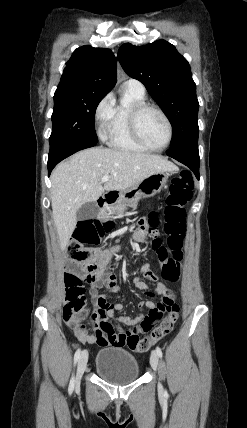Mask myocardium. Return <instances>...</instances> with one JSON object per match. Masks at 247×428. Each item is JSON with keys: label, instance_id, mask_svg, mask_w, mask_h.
I'll return each mask as SVG.
<instances>
[{"label": "myocardium", "instance_id": "myocardium-1", "mask_svg": "<svg viewBox=\"0 0 247 428\" xmlns=\"http://www.w3.org/2000/svg\"><path fill=\"white\" fill-rule=\"evenodd\" d=\"M146 110L156 111L162 116V118L166 122L167 129H168V136H167L166 142L162 146L155 147L148 144L143 138V136L141 135V132L139 130V117ZM128 126L133 139L142 147L146 148L147 150H151V151L165 150L171 144L173 139V125L170 118L164 112V110H162L160 107L151 103L140 102V103L133 104L128 111Z\"/></svg>", "mask_w": 247, "mask_h": 428}]
</instances>
